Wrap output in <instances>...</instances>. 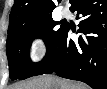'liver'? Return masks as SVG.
I'll use <instances>...</instances> for the list:
<instances>
[{
	"mask_svg": "<svg viewBox=\"0 0 107 89\" xmlns=\"http://www.w3.org/2000/svg\"><path fill=\"white\" fill-rule=\"evenodd\" d=\"M9 89H88V86L66 79L42 75L22 83L14 84Z\"/></svg>",
	"mask_w": 107,
	"mask_h": 89,
	"instance_id": "1",
	"label": "liver"
}]
</instances>
